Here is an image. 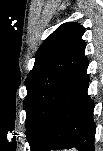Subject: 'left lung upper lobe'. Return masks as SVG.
<instances>
[{"label": "left lung upper lobe", "instance_id": "1", "mask_svg": "<svg viewBox=\"0 0 103 151\" xmlns=\"http://www.w3.org/2000/svg\"><path fill=\"white\" fill-rule=\"evenodd\" d=\"M85 28L79 23L67 22L58 27L37 51L33 69L27 75L25 85L28 95L24 100V109L30 93L31 81L58 55L81 39Z\"/></svg>", "mask_w": 103, "mask_h": 151}]
</instances>
